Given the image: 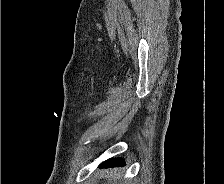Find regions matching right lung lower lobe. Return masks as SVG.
<instances>
[{
    "mask_svg": "<svg viewBox=\"0 0 224 184\" xmlns=\"http://www.w3.org/2000/svg\"><path fill=\"white\" fill-rule=\"evenodd\" d=\"M123 165H125V162L122 158H112L102 163L100 167H114Z\"/></svg>",
    "mask_w": 224,
    "mask_h": 184,
    "instance_id": "1",
    "label": "right lung lower lobe"
}]
</instances>
